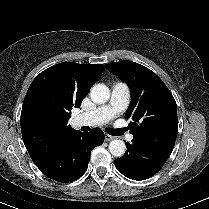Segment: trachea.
<instances>
[{"label": "trachea", "mask_w": 209, "mask_h": 209, "mask_svg": "<svg viewBox=\"0 0 209 209\" xmlns=\"http://www.w3.org/2000/svg\"><path fill=\"white\" fill-rule=\"evenodd\" d=\"M109 134L114 135L113 132L111 130H109Z\"/></svg>", "instance_id": "obj_1"}]
</instances>
